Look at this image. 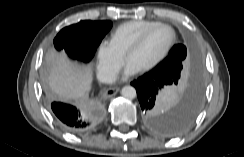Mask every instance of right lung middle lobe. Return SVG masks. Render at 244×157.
<instances>
[{"label":"right lung middle lobe","mask_w":244,"mask_h":157,"mask_svg":"<svg viewBox=\"0 0 244 157\" xmlns=\"http://www.w3.org/2000/svg\"><path fill=\"white\" fill-rule=\"evenodd\" d=\"M111 27L110 21H80L62 29L54 39V45L57 50L65 49L71 58L87 62L94 56L98 45ZM83 110L93 115V118L100 113V107L96 104Z\"/></svg>","instance_id":"right-lung-middle-lobe-1"}]
</instances>
